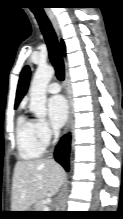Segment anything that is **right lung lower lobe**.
Returning <instances> with one entry per match:
<instances>
[{"label":"right lung lower lobe","mask_w":123,"mask_h":219,"mask_svg":"<svg viewBox=\"0 0 123 219\" xmlns=\"http://www.w3.org/2000/svg\"><path fill=\"white\" fill-rule=\"evenodd\" d=\"M70 135L62 137L55 150V160L69 170Z\"/></svg>","instance_id":"98d812e1"}]
</instances>
